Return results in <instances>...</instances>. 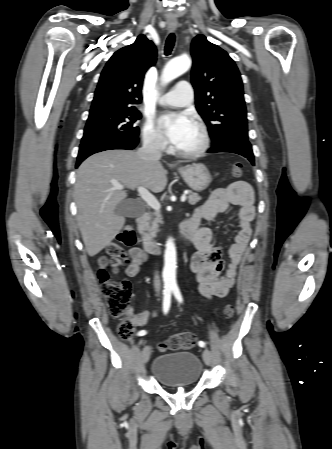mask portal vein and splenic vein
Masks as SVG:
<instances>
[{
  "label": "portal vein and splenic vein",
  "instance_id": "portal-vein-and-splenic-vein-1",
  "mask_svg": "<svg viewBox=\"0 0 332 449\" xmlns=\"http://www.w3.org/2000/svg\"><path fill=\"white\" fill-rule=\"evenodd\" d=\"M113 189L116 190H123L124 186L114 183V187ZM138 193L140 195V197L152 208L154 209L156 212H159L160 210V203L158 202V200L155 198L154 195H152L146 188L139 186L138 187ZM186 195H182L181 196V202H185L186 201Z\"/></svg>",
  "mask_w": 332,
  "mask_h": 449
}]
</instances>
